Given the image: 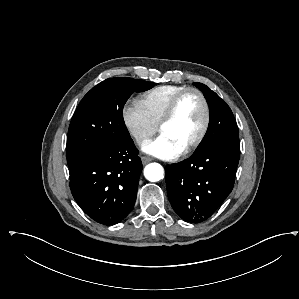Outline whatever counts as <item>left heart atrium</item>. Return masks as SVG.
Masks as SVG:
<instances>
[{
  "mask_svg": "<svg viewBox=\"0 0 299 299\" xmlns=\"http://www.w3.org/2000/svg\"><path fill=\"white\" fill-rule=\"evenodd\" d=\"M142 149L144 152L163 158L173 159L182 153V149L171 142L166 136L160 135L154 140L146 142Z\"/></svg>",
  "mask_w": 299,
  "mask_h": 299,
  "instance_id": "1",
  "label": "left heart atrium"
}]
</instances>
